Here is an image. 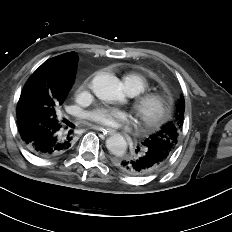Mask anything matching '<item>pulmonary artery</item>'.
Here are the masks:
<instances>
[{"instance_id":"1","label":"pulmonary artery","mask_w":232,"mask_h":232,"mask_svg":"<svg viewBox=\"0 0 232 232\" xmlns=\"http://www.w3.org/2000/svg\"><path fill=\"white\" fill-rule=\"evenodd\" d=\"M131 95H133V93L132 92H129Z\"/></svg>"}]
</instances>
